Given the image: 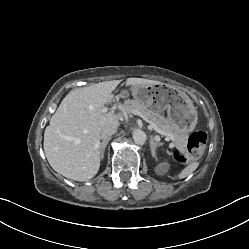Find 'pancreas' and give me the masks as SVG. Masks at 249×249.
I'll use <instances>...</instances> for the list:
<instances>
[{"label":"pancreas","mask_w":249,"mask_h":249,"mask_svg":"<svg viewBox=\"0 0 249 249\" xmlns=\"http://www.w3.org/2000/svg\"><path fill=\"white\" fill-rule=\"evenodd\" d=\"M124 108L128 113H132L133 110L141 112L145 117L152 121L162 131L166 132L168 137L172 136L174 139V146L179 151H185L187 146V134L181 131L176 126L172 125L169 120L157 112L149 109L144 104L136 100H126L124 102Z\"/></svg>","instance_id":"1"}]
</instances>
